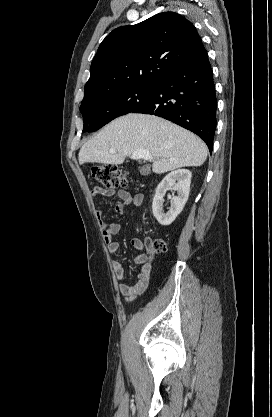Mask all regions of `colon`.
<instances>
[{
	"label": "colon",
	"instance_id": "colon-1",
	"mask_svg": "<svg viewBox=\"0 0 272 417\" xmlns=\"http://www.w3.org/2000/svg\"><path fill=\"white\" fill-rule=\"evenodd\" d=\"M92 177L107 188L123 186L127 183L125 173L114 164L96 165L91 170ZM166 243L156 239L149 245V255L158 254L166 250Z\"/></svg>",
	"mask_w": 272,
	"mask_h": 417
}]
</instances>
